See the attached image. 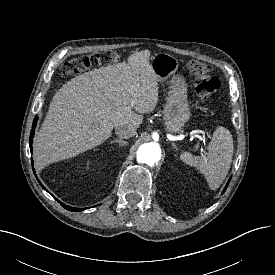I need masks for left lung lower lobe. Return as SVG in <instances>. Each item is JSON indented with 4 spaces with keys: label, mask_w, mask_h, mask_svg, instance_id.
I'll return each instance as SVG.
<instances>
[{
    "label": "left lung lower lobe",
    "mask_w": 275,
    "mask_h": 275,
    "mask_svg": "<svg viewBox=\"0 0 275 275\" xmlns=\"http://www.w3.org/2000/svg\"><path fill=\"white\" fill-rule=\"evenodd\" d=\"M230 179H231V178H230ZM230 179H229V181H230ZM229 181H228L227 185L225 186V188H224V190H223V193L225 192V190H226V188H227V186H228V184H229Z\"/></svg>",
    "instance_id": "left-lung-lower-lobe-1"
}]
</instances>
